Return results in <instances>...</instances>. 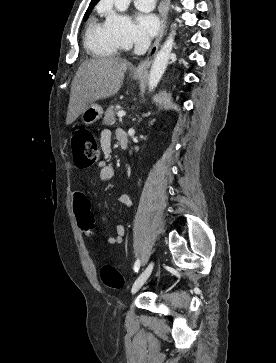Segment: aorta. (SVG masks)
Masks as SVG:
<instances>
[{
  "label": "aorta",
  "mask_w": 276,
  "mask_h": 363,
  "mask_svg": "<svg viewBox=\"0 0 276 363\" xmlns=\"http://www.w3.org/2000/svg\"><path fill=\"white\" fill-rule=\"evenodd\" d=\"M130 2L131 0H114V5L118 11L125 12L129 7ZM173 33L169 35L167 40L162 45L161 49L156 54V57L153 61L148 81L149 91H152L154 88L157 87L158 83L161 80L162 75L164 74L167 68L170 59V54L172 52L174 45Z\"/></svg>",
  "instance_id": "aorta-1"
}]
</instances>
